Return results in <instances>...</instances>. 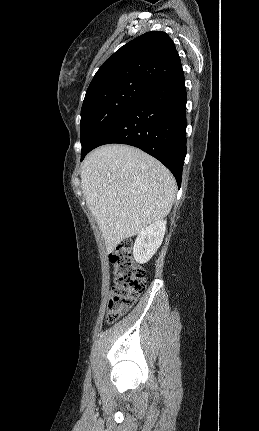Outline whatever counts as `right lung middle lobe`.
<instances>
[{"instance_id":"dd1d6c3e","label":"right lung middle lobe","mask_w":259,"mask_h":431,"mask_svg":"<svg viewBox=\"0 0 259 431\" xmlns=\"http://www.w3.org/2000/svg\"><path fill=\"white\" fill-rule=\"evenodd\" d=\"M150 88L139 82L95 92L85 97L81 109V158L100 134Z\"/></svg>"}]
</instances>
